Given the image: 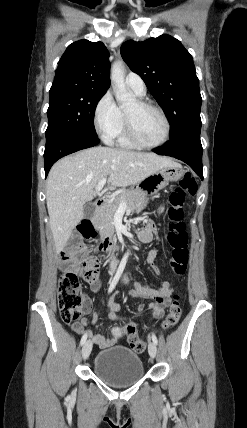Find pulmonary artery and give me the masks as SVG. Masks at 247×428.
Wrapping results in <instances>:
<instances>
[{"mask_svg": "<svg viewBox=\"0 0 247 428\" xmlns=\"http://www.w3.org/2000/svg\"><path fill=\"white\" fill-rule=\"evenodd\" d=\"M126 85L135 94L142 96L146 92V86L143 79L136 73L130 72L125 79Z\"/></svg>", "mask_w": 247, "mask_h": 428, "instance_id": "1", "label": "pulmonary artery"}]
</instances>
